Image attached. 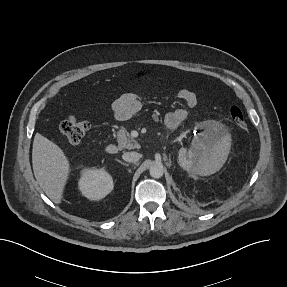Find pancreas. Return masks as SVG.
Returning <instances> with one entry per match:
<instances>
[{
    "instance_id": "cf45deb5",
    "label": "pancreas",
    "mask_w": 287,
    "mask_h": 287,
    "mask_svg": "<svg viewBox=\"0 0 287 287\" xmlns=\"http://www.w3.org/2000/svg\"><path fill=\"white\" fill-rule=\"evenodd\" d=\"M117 140L119 149H135L139 148L138 142L130 135L125 127H121L117 132Z\"/></svg>"
}]
</instances>
